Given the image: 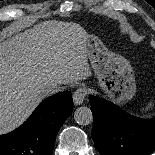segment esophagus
I'll return each mask as SVG.
<instances>
[{
	"label": "esophagus",
	"mask_w": 155,
	"mask_h": 155,
	"mask_svg": "<svg viewBox=\"0 0 155 155\" xmlns=\"http://www.w3.org/2000/svg\"><path fill=\"white\" fill-rule=\"evenodd\" d=\"M86 95H87V89L85 87L78 88L73 94L74 104L76 106L82 104Z\"/></svg>",
	"instance_id": "34e87169"
}]
</instances>
